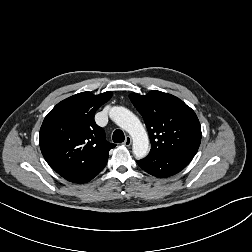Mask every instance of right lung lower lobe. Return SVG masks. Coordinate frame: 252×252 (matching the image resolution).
<instances>
[{
	"label": "right lung lower lobe",
	"instance_id": "obj_1",
	"mask_svg": "<svg viewBox=\"0 0 252 252\" xmlns=\"http://www.w3.org/2000/svg\"><path fill=\"white\" fill-rule=\"evenodd\" d=\"M105 165H100V166L82 171L80 173L69 176L65 179L73 183H86L92 180L98 173H100L105 167Z\"/></svg>",
	"mask_w": 252,
	"mask_h": 252
}]
</instances>
